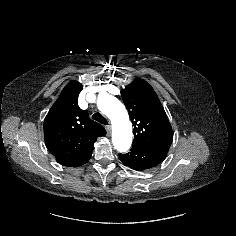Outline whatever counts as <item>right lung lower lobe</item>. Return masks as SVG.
I'll list each match as a JSON object with an SVG mask.
<instances>
[{
  "instance_id": "1",
  "label": "right lung lower lobe",
  "mask_w": 236,
  "mask_h": 236,
  "mask_svg": "<svg viewBox=\"0 0 236 236\" xmlns=\"http://www.w3.org/2000/svg\"><path fill=\"white\" fill-rule=\"evenodd\" d=\"M92 154V153H91ZM91 154L87 155L84 159L80 160L79 162H77L76 164H74L72 167H77V166H81L85 163H87L91 157Z\"/></svg>"
}]
</instances>
